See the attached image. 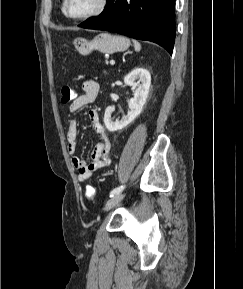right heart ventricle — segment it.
<instances>
[{"mask_svg": "<svg viewBox=\"0 0 243 289\" xmlns=\"http://www.w3.org/2000/svg\"><path fill=\"white\" fill-rule=\"evenodd\" d=\"M61 9H62V11L64 12V2L62 3Z\"/></svg>", "mask_w": 243, "mask_h": 289, "instance_id": "1", "label": "right heart ventricle"}]
</instances>
